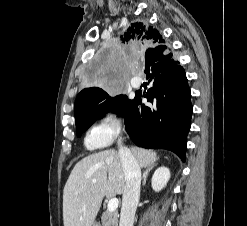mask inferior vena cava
<instances>
[{"label": "inferior vena cava", "mask_w": 247, "mask_h": 226, "mask_svg": "<svg viewBox=\"0 0 247 226\" xmlns=\"http://www.w3.org/2000/svg\"><path fill=\"white\" fill-rule=\"evenodd\" d=\"M118 149L126 181L119 226H133L140 197L141 170L132 152L122 145L121 138L118 139Z\"/></svg>", "instance_id": "1"}]
</instances>
